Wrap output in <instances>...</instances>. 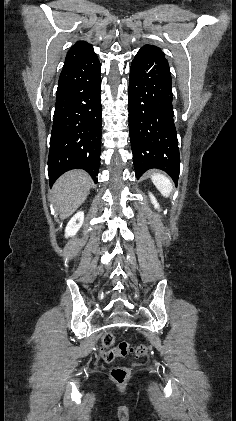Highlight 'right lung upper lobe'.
Segmentation results:
<instances>
[{
    "mask_svg": "<svg viewBox=\"0 0 236 421\" xmlns=\"http://www.w3.org/2000/svg\"><path fill=\"white\" fill-rule=\"evenodd\" d=\"M96 55L92 46L85 41L76 42L68 51L65 65Z\"/></svg>",
    "mask_w": 236,
    "mask_h": 421,
    "instance_id": "obj_1",
    "label": "right lung upper lobe"
}]
</instances>
